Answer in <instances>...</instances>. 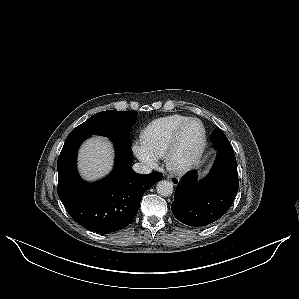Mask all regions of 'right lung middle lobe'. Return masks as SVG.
I'll return each mask as SVG.
<instances>
[{
    "label": "right lung middle lobe",
    "mask_w": 299,
    "mask_h": 299,
    "mask_svg": "<svg viewBox=\"0 0 299 299\" xmlns=\"http://www.w3.org/2000/svg\"><path fill=\"white\" fill-rule=\"evenodd\" d=\"M136 115L137 112L115 110L99 112L76 127L71 133L120 138L130 144L129 133L136 120Z\"/></svg>",
    "instance_id": "right-lung-middle-lobe-1"
}]
</instances>
